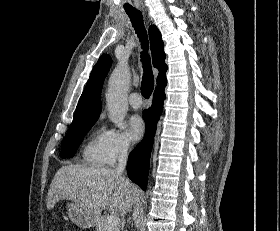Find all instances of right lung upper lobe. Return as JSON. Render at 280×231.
<instances>
[{"label":"right lung upper lobe","mask_w":280,"mask_h":231,"mask_svg":"<svg viewBox=\"0 0 280 231\" xmlns=\"http://www.w3.org/2000/svg\"><path fill=\"white\" fill-rule=\"evenodd\" d=\"M149 38L151 44L152 61L154 67L159 70L157 76V87L155 90L164 88L167 84L165 64L164 44L160 31L156 26L149 27ZM112 59L108 54L102 55L90 74V78L85 86L81 98L76 107L75 115L71 126H75L88 121H96L101 113L100 93L105 76L107 75ZM70 126V127H71Z\"/></svg>","instance_id":"cb5924a9"}]
</instances>
